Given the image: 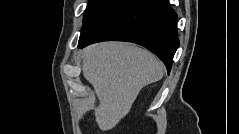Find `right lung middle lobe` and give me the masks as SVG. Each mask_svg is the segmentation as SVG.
Segmentation results:
<instances>
[{
  "label": "right lung middle lobe",
  "instance_id": "1",
  "mask_svg": "<svg viewBox=\"0 0 239 134\" xmlns=\"http://www.w3.org/2000/svg\"><path fill=\"white\" fill-rule=\"evenodd\" d=\"M125 0H89L80 38L86 37L110 12Z\"/></svg>",
  "mask_w": 239,
  "mask_h": 134
}]
</instances>
